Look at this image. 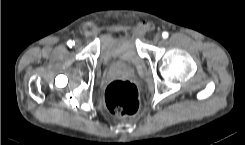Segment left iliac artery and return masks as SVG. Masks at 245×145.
Returning a JSON list of instances; mask_svg holds the SVG:
<instances>
[{
	"label": "left iliac artery",
	"instance_id": "obj_1",
	"mask_svg": "<svg viewBox=\"0 0 245 145\" xmlns=\"http://www.w3.org/2000/svg\"><path fill=\"white\" fill-rule=\"evenodd\" d=\"M162 37L166 39L168 37V32H163Z\"/></svg>",
	"mask_w": 245,
	"mask_h": 145
}]
</instances>
